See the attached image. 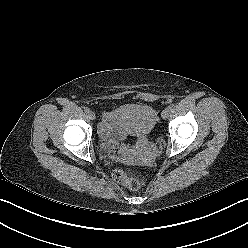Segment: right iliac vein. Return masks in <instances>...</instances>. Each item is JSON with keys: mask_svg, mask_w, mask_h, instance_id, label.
Listing matches in <instances>:
<instances>
[{"mask_svg": "<svg viewBox=\"0 0 248 248\" xmlns=\"http://www.w3.org/2000/svg\"><path fill=\"white\" fill-rule=\"evenodd\" d=\"M88 117H89L91 120H95V119H96V115H95V113L92 112V111H90V112L88 113Z\"/></svg>", "mask_w": 248, "mask_h": 248, "instance_id": "right-iliac-vein-1", "label": "right iliac vein"}]
</instances>
